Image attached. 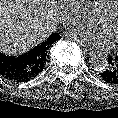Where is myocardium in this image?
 I'll use <instances>...</instances> for the list:
<instances>
[{
  "label": "myocardium",
  "instance_id": "obj_1",
  "mask_svg": "<svg viewBox=\"0 0 118 118\" xmlns=\"http://www.w3.org/2000/svg\"><path fill=\"white\" fill-rule=\"evenodd\" d=\"M117 5H118V0H111L109 3H107L104 7L101 8V12L105 14H110L113 12V10ZM112 47L118 50V44L113 45Z\"/></svg>",
  "mask_w": 118,
  "mask_h": 118
}]
</instances>
